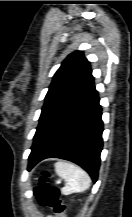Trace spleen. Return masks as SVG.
Here are the masks:
<instances>
[{"label": "spleen", "mask_w": 132, "mask_h": 217, "mask_svg": "<svg viewBox=\"0 0 132 217\" xmlns=\"http://www.w3.org/2000/svg\"><path fill=\"white\" fill-rule=\"evenodd\" d=\"M55 172L66 182L65 187L62 188V194L64 195L83 192L90 186L89 175L75 164L58 161L55 163Z\"/></svg>", "instance_id": "obj_1"}]
</instances>
